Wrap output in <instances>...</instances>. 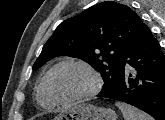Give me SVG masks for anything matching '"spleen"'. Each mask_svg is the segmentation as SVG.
<instances>
[{"mask_svg": "<svg viewBox=\"0 0 165 120\" xmlns=\"http://www.w3.org/2000/svg\"><path fill=\"white\" fill-rule=\"evenodd\" d=\"M116 106L121 110L124 120H153L151 116L131 105L116 102Z\"/></svg>", "mask_w": 165, "mask_h": 120, "instance_id": "spleen-1", "label": "spleen"}]
</instances>
